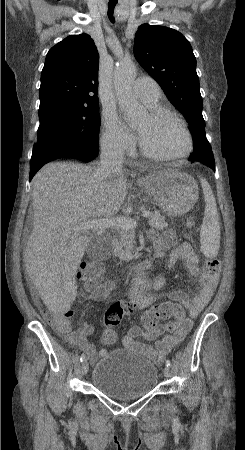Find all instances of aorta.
<instances>
[{
    "mask_svg": "<svg viewBox=\"0 0 245 450\" xmlns=\"http://www.w3.org/2000/svg\"><path fill=\"white\" fill-rule=\"evenodd\" d=\"M136 77L133 62H120L114 70V86L120 108L132 125L139 123L146 115L142 105L135 99L131 87Z\"/></svg>",
    "mask_w": 245,
    "mask_h": 450,
    "instance_id": "1",
    "label": "aorta"
}]
</instances>
